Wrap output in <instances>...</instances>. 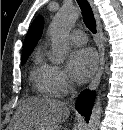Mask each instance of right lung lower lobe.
I'll return each instance as SVG.
<instances>
[{"instance_id": "obj_1", "label": "right lung lower lobe", "mask_w": 123, "mask_h": 130, "mask_svg": "<svg viewBox=\"0 0 123 130\" xmlns=\"http://www.w3.org/2000/svg\"><path fill=\"white\" fill-rule=\"evenodd\" d=\"M95 99V93L89 90H84L80 93L76 101V108L80 114L85 116L86 121H89L93 102Z\"/></svg>"}]
</instances>
